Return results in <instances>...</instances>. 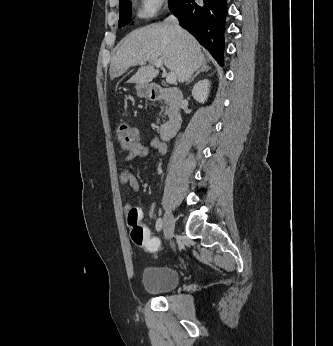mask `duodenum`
Instances as JSON below:
<instances>
[{
    "mask_svg": "<svg viewBox=\"0 0 333 346\" xmlns=\"http://www.w3.org/2000/svg\"><path fill=\"white\" fill-rule=\"evenodd\" d=\"M183 97V92L178 88H164L159 85H152L149 88L150 100L167 101L166 111L169 120L159 128L162 140L173 137L182 123L181 102Z\"/></svg>",
    "mask_w": 333,
    "mask_h": 346,
    "instance_id": "1",
    "label": "duodenum"
}]
</instances>
